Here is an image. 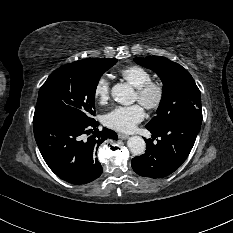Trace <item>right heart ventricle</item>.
Listing matches in <instances>:
<instances>
[{"mask_svg":"<svg viewBox=\"0 0 233 233\" xmlns=\"http://www.w3.org/2000/svg\"><path fill=\"white\" fill-rule=\"evenodd\" d=\"M120 75L134 88H139L151 80L150 72L138 65H131L121 69Z\"/></svg>","mask_w":233,"mask_h":233,"instance_id":"right-heart-ventricle-1","label":"right heart ventricle"}]
</instances>
